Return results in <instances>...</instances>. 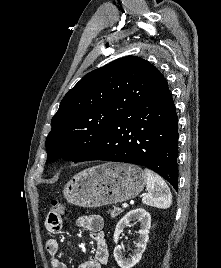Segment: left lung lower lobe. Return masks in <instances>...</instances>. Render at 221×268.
I'll return each instance as SVG.
<instances>
[{
    "mask_svg": "<svg viewBox=\"0 0 221 268\" xmlns=\"http://www.w3.org/2000/svg\"><path fill=\"white\" fill-rule=\"evenodd\" d=\"M178 127L168 86L117 118L89 160L148 167L177 189Z\"/></svg>",
    "mask_w": 221,
    "mask_h": 268,
    "instance_id": "1",
    "label": "left lung lower lobe"
}]
</instances>
